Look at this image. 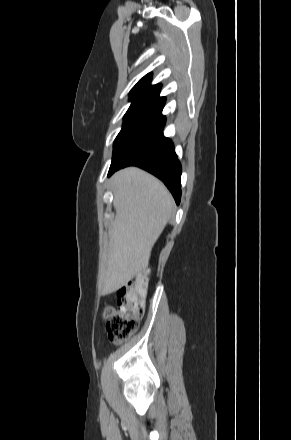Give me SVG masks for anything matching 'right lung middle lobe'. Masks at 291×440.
I'll return each instance as SVG.
<instances>
[{
  "label": "right lung middle lobe",
  "instance_id": "right-lung-middle-lobe-1",
  "mask_svg": "<svg viewBox=\"0 0 291 440\" xmlns=\"http://www.w3.org/2000/svg\"><path fill=\"white\" fill-rule=\"evenodd\" d=\"M152 104L153 101L132 102L131 106L124 115L122 129L114 141L112 159L115 157V155L120 150L124 142L128 139V137L138 126V124L143 119L145 114L148 112Z\"/></svg>",
  "mask_w": 291,
  "mask_h": 440
}]
</instances>
